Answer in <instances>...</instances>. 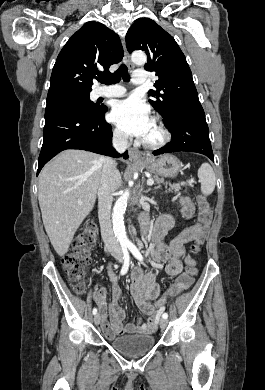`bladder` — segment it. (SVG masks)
<instances>
[{
    "instance_id": "1",
    "label": "bladder",
    "mask_w": 265,
    "mask_h": 390,
    "mask_svg": "<svg viewBox=\"0 0 265 390\" xmlns=\"http://www.w3.org/2000/svg\"><path fill=\"white\" fill-rule=\"evenodd\" d=\"M155 337L147 334L120 335L109 339L110 345L126 357H138L150 351Z\"/></svg>"
}]
</instances>
